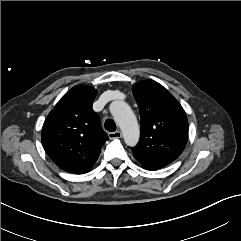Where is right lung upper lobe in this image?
<instances>
[{"label":"right lung upper lobe","mask_w":241,"mask_h":241,"mask_svg":"<svg viewBox=\"0 0 241 241\" xmlns=\"http://www.w3.org/2000/svg\"><path fill=\"white\" fill-rule=\"evenodd\" d=\"M96 93L90 86L73 87L45 119L42 143L62 170L75 174L90 171L108 140L92 108Z\"/></svg>","instance_id":"cb5924a9"}]
</instances>
